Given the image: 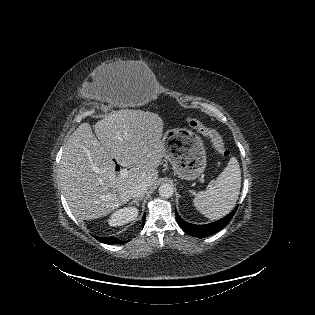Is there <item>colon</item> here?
<instances>
[{
  "label": "colon",
  "mask_w": 315,
  "mask_h": 315,
  "mask_svg": "<svg viewBox=\"0 0 315 315\" xmlns=\"http://www.w3.org/2000/svg\"><path fill=\"white\" fill-rule=\"evenodd\" d=\"M188 123L211 142L212 146L221 157L225 158L229 156L230 152L226 148L223 138L216 130L207 127L201 121L194 118L188 119Z\"/></svg>",
  "instance_id": "1"
}]
</instances>
